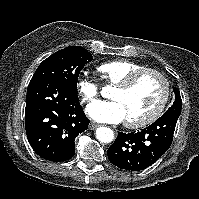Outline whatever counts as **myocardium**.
<instances>
[{
  "label": "myocardium",
  "mask_w": 199,
  "mask_h": 199,
  "mask_svg": "<svg viewBox=\"0 0 199 199\" xmlns=\"http://www.w3.org/2000/svg\"><path fill=\"white\" fill-rule=\"evenodd\" d=\"M147 74H153L157 76L163 83V94L161 99L159 100L156 107L153 109L151 113H149L144 118L138 120H126L125 125L129 128H141L148 126L155 122L163 113L170 97V82L166 75L161 71L154 69V68H142L138 71L133 72L130 74L126 79L122 82L115 85V88L121 91H128L130 90L142 77Z\"/></svg>",
  "instance_id": "f54148a6"
}]
</instances>
